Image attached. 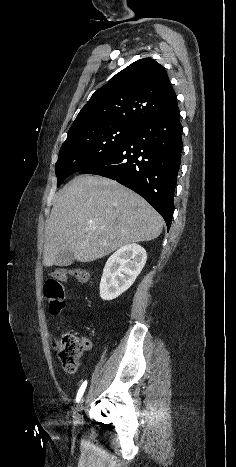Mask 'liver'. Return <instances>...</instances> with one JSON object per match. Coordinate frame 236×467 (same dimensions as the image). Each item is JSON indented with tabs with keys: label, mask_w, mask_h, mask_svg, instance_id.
<instances>
[{
	"label": "liver",
	"mask_w": 236,
	"mask_h": 467,
	"mask_svg": "<svg viewBox=\"0 0 236 467\" xmlns=\"http://www.w3.org/2000/svg\"><path fill=\"white\" fill-rule=\"evenodd\" d=\"M163 219L132 190L101 176L80 175L55 197L45 228L43 264L58 265L57 254L91 262L128 244L156 239Z\"/></svg>",
	"instance_id": "1"
}]
</instances>
